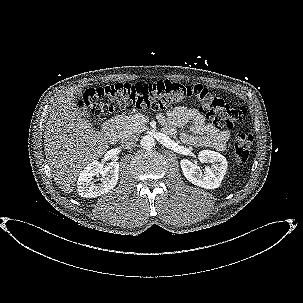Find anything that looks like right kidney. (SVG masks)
<instances>
[{
	"label": "right kidney",
	"instance_id": "right-kidney-1",
	"mask_svg": "<svg viewBox=\"0 0 303 303\" xmlns=\"http://www.w3.org/2000/svg\"><path fill=\"white\" fill-rule=\"evenodd\" d=\"M102 176L100 183H95V176ZM119 176V163L110 162L106 165L97 160L88 164L79 174L77 181L78 194L85 198H95L113 189Z\"/></svg>",
	"mask_w": 303,
	"mask_h": 303
}]
</instances>
